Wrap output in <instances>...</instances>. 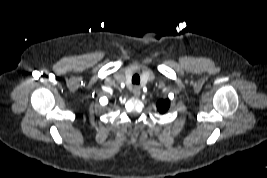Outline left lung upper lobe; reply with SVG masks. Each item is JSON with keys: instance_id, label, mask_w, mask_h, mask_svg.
I'll list each match as a JSON object with an SVG mask.
<instances>
[{"instance_id": "left-lung-upper-lobe-1", "label": "left lung upper lobe", "mask_w": 267, "mask_h": 178, "mask_svg": "<svg viewBox=\"0 0 267 178\" xmlns=\"http://www.w3.org/2000/svg\"><path fill=\"white\" fill-rule=\"evenodd\" d=\"M169 106L170 101L168 99L157 102V109L160 113H165L169 109Z\"/></svg>"}]
</instances>
